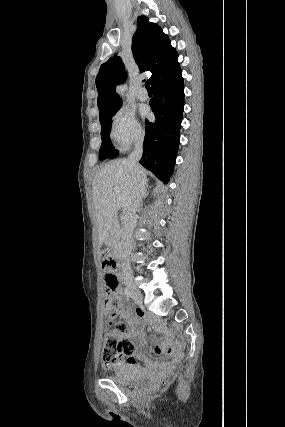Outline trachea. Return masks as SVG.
<instances>
[{
  "instance_id": "obj_1",
  "label": "trachea",
  "mask_w": 285,
  "mask_h": 427,
  "mask_svg": "<svg viewBox=\"0 0 285 427\" xmlns=\"http://www.w3.org/2000/svg\"><path fill=\"white\" fill-rule=\"evenodd\" d=\"M145 87L148 91H151V87L148 81L145 82Z\"/></svg>"
}]
</instances>
